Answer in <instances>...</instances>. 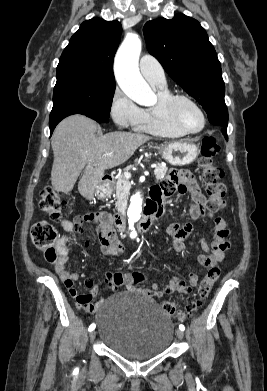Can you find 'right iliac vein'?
Instances as JSON below:
<instances>
[{
  "label": "right iliac vein",
  "mask_w": 267,
  "mask_h": 391,
  "mask_svg": "<svg viewBox=\"0 0 267 391\" xmlns=\"http://www.w3.org/2000/svg\"><path fill=\"white\" fill-rule=\"evenodd\" d=\"M95 337H96V331H95V330H92V331L90 332V340L93 341V340L95 339Z\"/></svg>",
  "instance_id": "1"
}]
</instances>
